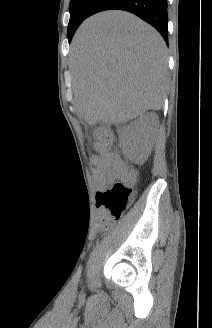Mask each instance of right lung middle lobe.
<instances>
[{
  "mask_svg": "<svg viewBox=\"0 0 212 328\" xmlns=\"http://www.w3.org/2000/svg\"><path fill=\"white\" fill-rule=\"evenodd\" d=\"M95 0H70V21L68 25V40L71 41L79 25L87 18V14Z\"/></svg>",
  "mask_w": 212,
  "mask_h": 328,
  "instance_id": "dd1d6c3e",
  "label": "right lung middle lobe"
}]
</instances>
